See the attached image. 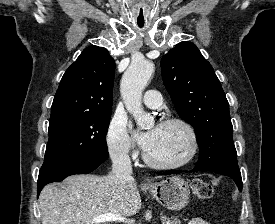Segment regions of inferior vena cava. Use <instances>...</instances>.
<instances>
[{"instance_id": "602c4592", "label": "inferior vena cava", "mask_w": 275, "mask_h": 224, "mask_svg": "<svg viewBox=\"0 0 275 224\" xmlns=\"http://www.w3.org/2000/svg\"><path fill=\"white\" fill-rule=\"evenodd\" d=\"M112 160V173L116 180L125 185L134 181L132 177V164L127 150H117L110 153Z\"/></svg>"}]
</instances>
